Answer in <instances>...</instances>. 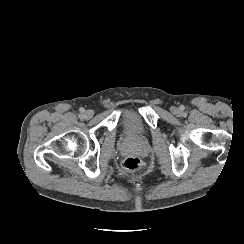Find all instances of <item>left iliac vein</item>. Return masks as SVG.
<instances>
[{"instance_id":"obj_1","label":"left iliac vein","mask_w":244,"mask_h":244,"mask_svg":"<svg viewBox=\"0 0 244 244\" xmlns=\"http://www.w3.org/2000/svg\"><path fill=\"white\" fill-rule=\"evenodd\" d=\"M172 113L176 116H180L182 114V111L178 107H172Z\"/></svg>"}]
</instances>
